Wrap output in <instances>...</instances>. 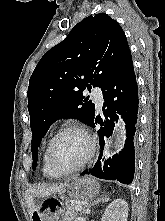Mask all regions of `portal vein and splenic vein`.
Here are the masks:
<instances>
[{
	"mask_svg": "<svg viewBox=\"0 0 165 221\" xmlns=\"http://www.w3.org/2000/svg\"><path fill=\"white\" fill-rule=\"evenodd\" d=\"M75 210H77V211L82 210V206H81V205H76V206H75Z\"/></svg>",
	"mask_w": 165,
	"mask_h": 221,
	"instance_id": "portal-vein-and-splenic-vein-1",
	"label": "portal vein and splenic vein"
}]
</instances>
